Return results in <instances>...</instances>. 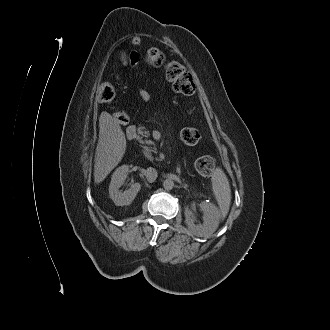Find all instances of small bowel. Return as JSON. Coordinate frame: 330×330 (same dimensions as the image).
<instances>
[{"instance_id": "c3829d8e", "label": "small bowel", "mask_w": 330, "mask_h": 330, "mask_svg": "<svg viewBox=\"0 0 330 330\" xmlns=\"http://www.w3.org/2000/svg\"><path fill=\"white\" fill-rule=\"evenodd\" d=\"M140 42H141V40H140L139 37H134L133 40H132L133 45H136V46L139 45ZM138 61H139L138 54L130 55L129 57H127L124 60V62L126 64H128L129 66H131V67L137 66ZM138 96L143 102H149L151 100V93L145 88H141V89L138 90ZM127 121H128V116H127V119L124 122H120V121H118V122L119 123H126Z\"/></svg>"}]
</instances>
